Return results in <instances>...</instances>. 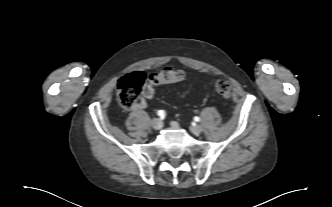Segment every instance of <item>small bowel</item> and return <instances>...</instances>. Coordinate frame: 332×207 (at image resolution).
<instances>
[{
	"instance_id": "small-bowel-1",
	"label": "small bowel",
	"mask_w": 332,
	"mask_h": 207,
	"mask_svg": "<svg viewBox=\"0 0 332 207\" xmlns=\"http://www.w3.org/2000/svg\"><path fill=\"white\" fill-rule=\"evenodd\" d=\"M154 97V89L152 85L148 84L143 90V96L138 103L133 107L134 111H139L147 107L148 102Z\"/></svg>"
}]
</instances>
